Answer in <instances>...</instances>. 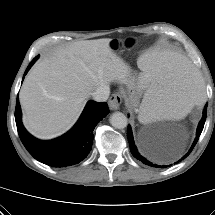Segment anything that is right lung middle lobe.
<instances>
[{
  "instance_id": "right-lung-middle-lobe-1",
  "label": "right lung middle lobe",
  "mask_w": 215,
  "mask_h": 215,
  "mask_svg": "<svg viewBox=\"0 0 215 215\" xmlns=\"http://www.w3.org/2000/svg\"><path fill=\"white\" fill-rule=\"evenodd\" d=\"M38 57H36L34 60H33V62L37 59Z\"/></svg>"
}]
</instances>
